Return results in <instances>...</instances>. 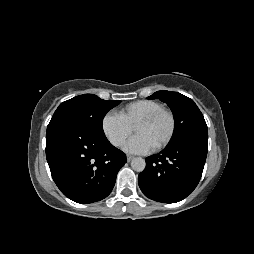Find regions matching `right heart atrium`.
<instances>
[{
	"label": "right heart atrium",
	"mask_w": 254,
	"mask_h": 254,
	"mask_svg": "<svg viewBox=\"0 0 254 254\" xmlns=\"http://www.w3.org/2000/svg\"><path fill=\"white\" fill-rule=\"evenodd\" d=\"M101 130L114 147H121L132 133V127L118 113L109 111L101 120Z\"/></svg>",
	"instance_id": "1"
}]
</instances>
